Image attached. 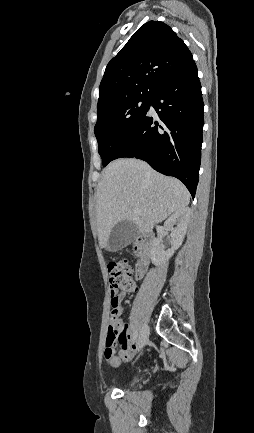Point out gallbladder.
Here are the masks:
<instances>
[{
	"label": "gallbladder",
	"instance_id": "1",
	"mask_svg": "<svg viewBox=\"0 0 254 433\" xmlns=\"http://www.w3.org/2000/svg\"><path fill=\"white\" fill-rule=\"evenodd\" d=\"M139 234L138 227L129 220L118 222L111 230L107 250L118 251L131 242H133Z\"/></svg>",
	"mask_w": 254,
	"mask_h": 433
}]
</instances>
